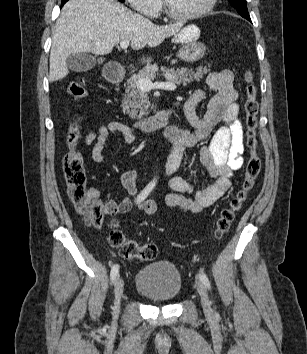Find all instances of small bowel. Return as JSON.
Returning <instances> with one entry per match:
<instances>
[{
	"mask_svg": "<svg viewBox=\"0 0 307 354\" xmlns=\"http://www.w3.org/2000/svg\"><path fill=\"white\" fill-rule=\"evenodd\" d=\"M206 82L213 95L208 97L204 90H196L183 105L191 129L170 126L166 130L172 151L165 166V175L173 192L165 196V202L185 213H199L225 195L231 187L230 178L243 165V127L238 118V92L233 85L234 74L228 69L215 71L208 75ZM204 101H207V109L203 116H199L196 108ZM116 132L121 133L128 143L136 140L134 129L117 121L104 123L87 133L84 143L92 145L93 161H104L106 141L110 134ZM198 144H202L200 161L205 168L201 174L212 180L204 189H197L187 179L175 175L181 165L184 151ZM136 179L135 170L122 174V186L132 199L124 197L119 202H105L108 215L128 212L133 202L146 213L152 214L156 211V203L151 200L137 202ZM90 194L95 199H100L101 192L98 189H90Z\"/></svg>",
	"mask_w": 307,
	"mask_h": 354,
	"instance_id": "c3829d8e",
	"label": "small bowel"
}]
</instances>
